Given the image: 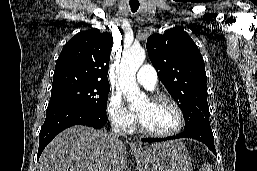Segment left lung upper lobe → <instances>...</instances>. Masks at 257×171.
<instances>
[{"label":"left lung upper lobe","instance_id":"5c2ea615","mask_svg":"<svg viewBox=\"0 0 257 171\" xmlns=\"http://www.w3.org/2000/svg\"><path fill=\"white\" fill-rule=\"evenodd\" d=\"M146 47L159 79L184 113L185 129H211L204 60L192 38L170 29L151 35Z\"/></svg>","mask_w":257,"mask_h":171}]
</instances>
